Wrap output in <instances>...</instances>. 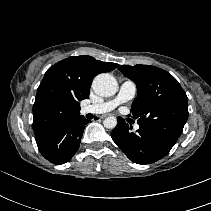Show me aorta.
Returning <instances> with one entry per match:
<instances>
[{
  "label": "aorta",
  "mask_w": 211,
  "mask_h": 211,
  "mask_svg": "<svg viewBox=\"0 0 211 211\" xmlns=\"http://www.w3.org/2000/svg\"><path fill=\"white\" fill-rule=\"evenodd\" d=\"M93 91L102 97H110L118 90V83L116 79L108 74L102 73L97 75L92 82ZM103 124L108 129H113L117 125V119L113 116L107 117Z\"/></svg>",
  "instance_id": "aorta-1"
}]
</instances>
